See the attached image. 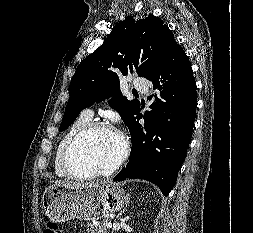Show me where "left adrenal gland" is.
Here are the masks:
<instances>
[{
	"instance_id": "a2214340",
	"label": "left adrenal gland",
	"mask_w": 253,
	"mask_h": 233,
	"mask_svg": "<svg viewBox=\"0 0 253 233\" xmlns=\"http://www.w3.org/2000/svg\"><path fill=\"white\" fill-rule=\"evenodd\" d=\"M129 200H130V195L127 194V196H126V207H127V205H129ZM126 207L124 208L123 211H121V212L117 215V217L121 216V215L125 212Z\"/></svg>"
}]
</instances>
